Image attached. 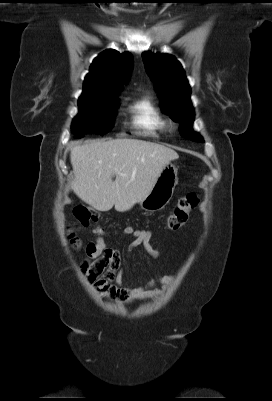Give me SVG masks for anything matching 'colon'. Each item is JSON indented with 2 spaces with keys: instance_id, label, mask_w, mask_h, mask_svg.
<instances>
[{
  "instance_id": "1",
  "label": "colon",
  "mask_w": 272,
  "mask_h": 401,
  "mask_svg": "<svg viewBox=\"0 0 272 401\" xmlns=\"http://www.w3.org/2000/svg\"><path fill=\"white\" fill-rule=\"evenodd\" d=\"M198 199L194 194H189L178 202L172 212L167 218V226L170 229H179L188 220L189 214L196 207ZM74 216L77 224L82 227H88L92 224H96L100 219V213L97 210L89 208L85 205H78L74 209ZM96 233L101 234L100 228L95 229ZM69 239L74 247L80 246L79 239L75 236L73 231L69 232Z\"/></svg>"
}]
</instances>
